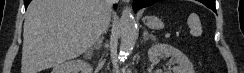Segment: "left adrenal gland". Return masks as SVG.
Here are the masks:
<instances>
[{
	"label": "left adrenal gland",
	"instance_id": "1",
	"mask_svg": "<svg viewBox=\"0 0 244 73\" xmlns=\"http://www.w3.org/2000/svg\"><path fill=\"white\" fill-rule=\"evenodd\" d=\"M148 39L155 40V36L153 34H149L147 30L143 33V40L147 41Z\"/></svg>",
	"mask_w": 244,
	"mask_h": 73
}]
</instances>
